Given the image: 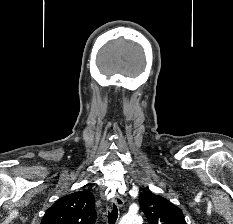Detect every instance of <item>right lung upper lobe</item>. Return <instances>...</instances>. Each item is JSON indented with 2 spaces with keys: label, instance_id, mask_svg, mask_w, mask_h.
I'll return each mask as SVG.
<instances>
[{
  "label": "right lung upper lobe",
  "instance_id": "cb5924a9",
  "mask_svg": "<svg viewBox=\"0 0 233 224\" xmlns=\"http://www.w3.org/2000/svg\"><path fill=\"white\" fill-rule=\"evenodd\" d=\"M95 199L91 192L78 191L62 197L45 213L41 224H94Z\"/></svg>",
  "mask_w": 233,
  "mask_h": 224
}]
</instances>
